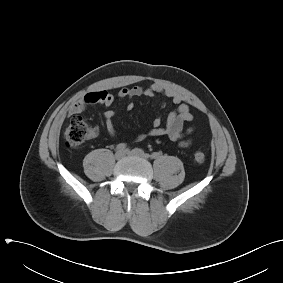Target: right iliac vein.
<instances>
[{
  "label": "right iliac vein",
  "instance_id": "1",
  "mask_svg": "<svg viewBox=\"0 0 283 283\" xmlns=\"http://www.w3.org/2000/svg\"><path fill=\"white\" fill-rule=\"evenodd\" d=\"M124 156H125V152H124V151H117V152L115 153V158H116L117 160L122 159Z\"/></svg>",
  "mask_w": 283,
  "mask_h": 283
}]
</instances>
